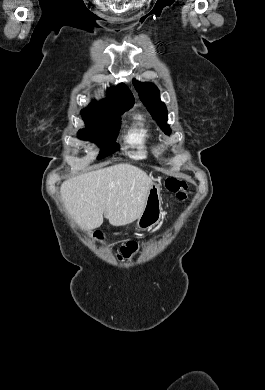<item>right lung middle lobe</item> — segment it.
<instances>
[{"label": "right lung middle lobe", "mask_w": 265, "mask_h": 390, "mask_svg": "<svg viewBox=\"0 0 265 390\" xmlns=\"http://www.w3.org/2000/svg\"><path fill=\"white\" fill-rule=\"evenodd\" d=\"M86 122V129L78 132V137L83 140H91L101 148L97 159H102L119 150L115 142L120 129V118L110 117L93 111H81Z\"/></svg>", "instance_id": "obj_1"}]
</instances>
